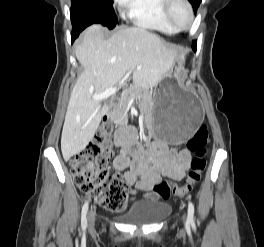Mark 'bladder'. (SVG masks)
<instances>
[{
  "instance_id": "bladder-1",
  "label": "bladder",
  "mask_w": 264,
  "mask_h": 247,
  "mask_svg": "<svg viewBox=\"0 0 264 247\" xmlns=\"http://www.w3.org/2000/svg\"><path fill=\"white\" fill-rule=\"evenodd\" d=\"M170 211V205L160 200H144L135 203L121 216V220L137 224H150L164 219Z\"/></svg>"
}]
</instances>
